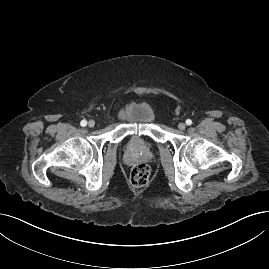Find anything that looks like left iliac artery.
I'll return each instance as SVG.
<instances>
[{
    "label": "left iliac artery",
    "instance_id": "obj_1",
    "mask_svg": "<svg viewBox=\"0 0 269 269\" xmlns=\"http://www.w3.org/2000/svg\"><path fill=\"white\" fill-rule=\"evenodd\" d=\"M186 124H187V125H191V124H192V120H191V119H187V120H186Z\"/></svg>",
    "mask_w": 269,
    "mask_h": 269
}]
</instances>
